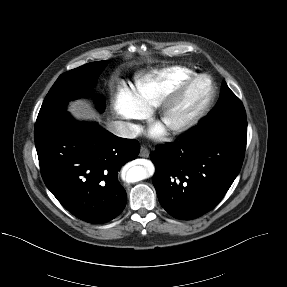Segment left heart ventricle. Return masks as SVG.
Segmentation results:
<instances>
[{
  "label": "left heart ventricle",
  "mask_w": 287,
  "mask_h": 287,
  "mask_svg": "<svg viewBox=\"0 0 287 287\" xmlns=\"http://www.w3.org/2000/svg\"><path fill=\"white\" fill-rule=\"evenodd\" d=\"M209 91V85L206 80L196 82L186 93L179 106L170 116L171 121H177L191 113L206 98Z\"/></svg>",
  "instance_id": "obj_1"
}]
</instances>
